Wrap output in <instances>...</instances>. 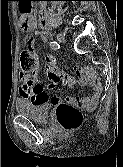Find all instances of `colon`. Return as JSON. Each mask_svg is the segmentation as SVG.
<instances>
[{"mask_svg": "<svg viewBox=\"0 0 123 167\" xmlns=\"http://www.w3.org/2000/svg\"><path fill=\"white\" fill-rule=\"evenodd\" d=\"M37 58L31 49L20 53V69L22 74L34 72L37 68ZM82 114L73 106L62 104L57 108V121L65 131L76 130L82 123Z\"/></svg>", "mask_w": 123, "mask_h": 167, "instance_id": "obj_1", "label": "colon"}]
</instances>
